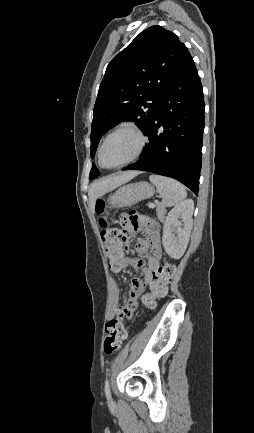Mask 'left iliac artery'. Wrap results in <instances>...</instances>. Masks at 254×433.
Here are the masks:
<instances>
[{
  "label": "left iliac artery",
  "mask_w": 254,
  "mask_h": 433,
  "mask_svg": "<svg viewBox=\"0 0 254 433\" xmlns=\"http://www.w3.org/2000/svg\"><path fill=\"white\" fill-rule=\"evenodd\" d=\"M105 395H106L108 400H111L110 385H109L108 379L105 382Z\"/></svg>",
  "instance_id": "1"
}]
</instances>
